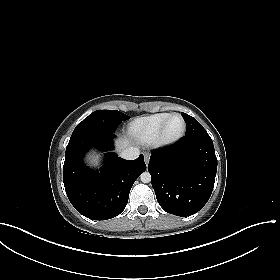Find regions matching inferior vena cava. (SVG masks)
I'll return each mask as SVG.
<instances>
[{
  "label": "inferior vena cava",
  "instance_id": "inferior-vena-cava-1",
  "mask_svg": "<svg viewBox=\"0 0 280 280\" xmlns=\"http://www.w3.org/2000/svg\"><path fill=\"white\" fill-rule=\"evenodd\" d=\"M140 154V151L137 147H127L121 151L120 156L126 160H134Z\"/></svg>",
  "mask_w": 280,
  "mask_h": 280
}]
</instances>
